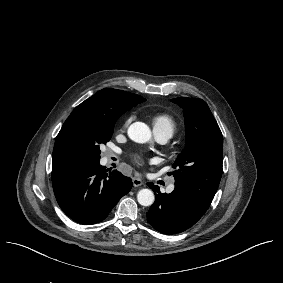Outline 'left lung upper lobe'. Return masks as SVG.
<instances>
[{
  "label": "left lung upper lobe",
  "mask_w": 283,
  "mask_h": 283,
  "mask_svg": "<svg viewBox=\"0 0 283 283\" xmlns=\"http://www.w3.org/2000/svg\"><path fill=\"white\" fill-rule=\"evenodd\" d=\"M171 101L183 108L186 125V145L173 164L175 186L211 204L222 175V133L202 99Z\"/></svg>",
  "instance_id": "obj_1"
}]
</instances>
